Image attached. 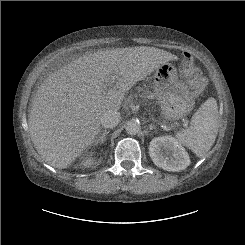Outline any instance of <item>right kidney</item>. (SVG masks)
I'll return each mask as SVG.
<instances>
[{
  "instance_id": "1",
  "label": "right kidney",
  "mask_w": 245,
  "mask_h": 245,
  "mask_svg": "<svg viewBox=\"0 0 245 245\" xmlns=\"http://www.w3.org/2000/svg\"><path fill=\"white\" fill-rule=\"evenodd\" d=\"M81 164H82L83 166L88 167V166H90V165L92 164V159H91V158L85 159V160L82 161Z\"/></svg>"
}]
</instances>
